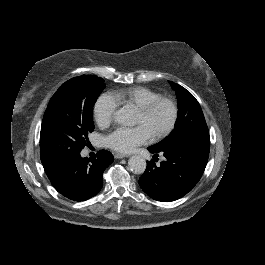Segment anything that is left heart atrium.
I'll return each instance as SVG.
<instances>
[{"label":"left heart atrium","instance_id":"39dd6f15","mask_svg":"<svg viewBox=\"0 0 265 265\" xmlns=\"http://www.w3.org/2000/svg\"><path fill=\"white\" fill-rule=\"evenodd\" d=\"M152 137L144 125L120 126L111 131L105 140L109 148L118 152L129 153L134 151L136 147L150 142Z\"/></svg>","mask_w":265,"mask_h":265}]
</instances>
